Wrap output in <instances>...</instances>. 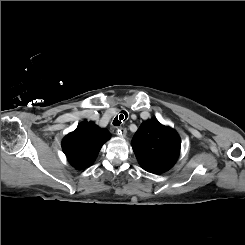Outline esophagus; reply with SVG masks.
<instances>
[{
  "mask_svg": "<svg viewBox=\"0 0 245 245\" xmlns=\"http://www.w3.org/2000/svg\"><path fill=\"white\" fill-rule=\"evenodd\" d=\"M117 135L120 136V137H122V138L126 137V135H127V129L126 128H123V127L117 129Z\"/></svg>",
  "mask_w": 245,
  "mask_h": 245,
  "instance_id": "34e87169",
  "label": "esophagus"
}]
</instances>
